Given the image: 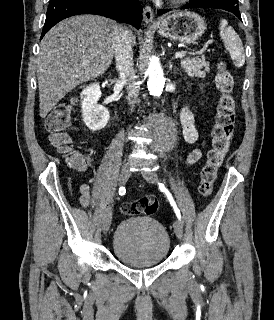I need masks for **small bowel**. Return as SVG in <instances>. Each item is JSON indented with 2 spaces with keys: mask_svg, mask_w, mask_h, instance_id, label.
<instances>
[{
  "mask_svg": "<svg viewBox=\"0 0 274 320\" xmlns=\"http://www.w3.org/2000/svg\"><path fill=\"white\" fill-rule=\"evenodd\" d=\"M181 124L185 141L191 145L195 144L198 140L199 134L195 125L193 112L189 108L183 109L181 113ZM201 155L202 153L200 149H193L187 156L186 164L189 166L195 164L201 158ZM73 161H86V168H74L78 171H85L90 163V159L82 153L75 154L73 156ZM79 191V204L82 207L87 208L91 201L90 185L88 183H83L80 186Z\"/></svg>",
  "mask_w": 274,
  "mask_h": 320,
  "instance_id": "obj_1",
  "label": "small bowel"
}]
</instances>
